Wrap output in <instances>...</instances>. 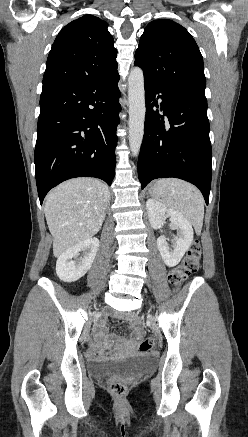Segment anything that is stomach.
Segmentation results:
<instances>
[{
  "label": "stomach",
  "mask_w": 248,
  "mask_h": 437,
  "mask_svg": "<svg viewBox=\"0 0 248 437\" xmlns=\"http://www.w3.org/2000/svg\"><path fill=\"white\" fill-rule=\"evenodd\" d=\"M151 194L154 195V191H152Z\"/></svg>",
  "instance_id": "stomach-1"
}]
</instances>
